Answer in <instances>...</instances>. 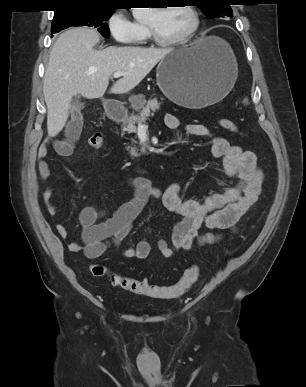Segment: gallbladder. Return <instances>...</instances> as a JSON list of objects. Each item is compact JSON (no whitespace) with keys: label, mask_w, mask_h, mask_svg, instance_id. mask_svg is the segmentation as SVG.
Here are the masks:
<instances>
[{"label":"gallbladder","mask_w":306,"mask_h":387,"mask_svg":"<svg viewBox=\"0 0 306 387\" xmlns=\"http://www.w3.org/2000/svg\"><path fill=\"white\" fill-rule=\"evenodd\" d=\"M80 96L75 95L72 99V106H79L80 105Z\"/></svg>","instance_id":"bac80fb5"}]
</instances>
